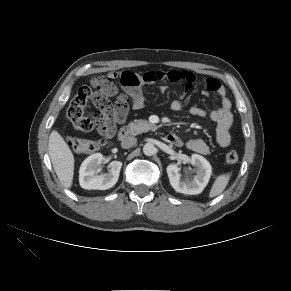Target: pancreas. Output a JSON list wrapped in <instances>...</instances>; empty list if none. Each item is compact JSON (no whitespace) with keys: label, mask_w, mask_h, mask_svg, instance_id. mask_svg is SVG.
<instances>
[{"label":"pancreas","mask_w":291,"mask_h":291,"mask_svg":"<svg viewBox=\"0 0 291 291\" xmlns=\"http://www.w3.org/2000/svg\"><path fill=\"white\" fill-rule=\"evenodd\" d=\"M128 129L132 135H138L154 128V125L146 120H135L128 124Z\"/></svg>","instance_id":"1"}]
</instances>
